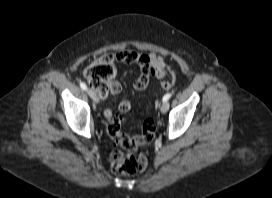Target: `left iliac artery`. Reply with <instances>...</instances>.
<instances>
[{
	"label": "left iliac artery",
	"instance_id": "left-iliac-artery-1",
	"mask_svg": "<svg viewBox=\"0 0 272 198\" xmlns=\"http://www.w3.org/2000/svg\"><path fill=\"white\" fill-rule=\"evenodd\" d=\"M172 96V94L171 93H167V94H165L164 95V97H163V99H162V101L163 102H166V101H168L169 99H170V97Z\"/></svg>",
	"mask_w": 272,
	"mask_h": 198
}]
</instances>
